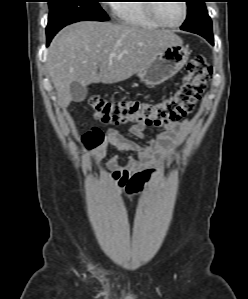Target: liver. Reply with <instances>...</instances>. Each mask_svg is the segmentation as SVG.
I'll list each match as a JSON object with an SVG mask.
<instances>
[{"instance_id":"liver-1","label":"liver","mask_w":248,"mask_h":299,"mask_svg":"<svg viewBox=\"0 0 248 299\" xmlns=\"http://www.w3.org/2000/svg\"><path fill=\"white\" fill-rule=\"evenodd\" d=\"M174 44L182 40L170 30L96 21L65 27L52 40L47 60L60 107L65 109L72 101L71 83L87 86L126 80Z\"/></svg>"}]
</instances>
